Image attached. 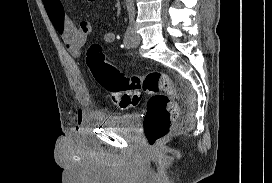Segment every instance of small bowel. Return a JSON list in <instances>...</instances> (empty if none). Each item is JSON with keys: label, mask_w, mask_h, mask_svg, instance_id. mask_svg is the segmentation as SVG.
I'll return each instance as SVG.
<instances>
[{"label": "small bowel", "mask_w": 272, "mask_h": 183, "mask_svg": "<svg viewBox=\"0 0 272 183\" xmlns=\"http://www.w3.org/2000/svg\"><path fill=\"white\" fill-rule=\"evenodd\" d=\"M48 17L56 31L62 37L66 48L73 56H80L83 47L91 34L92 27L87 21H80L75 24L65 13L63 0H42ZM118 39V35L108 31L102 35V40L106 44H112ZM74 119L77 124H81L82 113L75 112Z\"/></svg>", "instance_id": "c3829d8e"}]
</instances>
